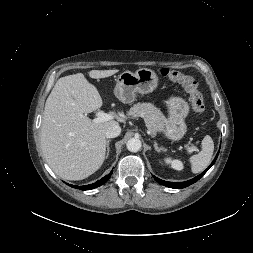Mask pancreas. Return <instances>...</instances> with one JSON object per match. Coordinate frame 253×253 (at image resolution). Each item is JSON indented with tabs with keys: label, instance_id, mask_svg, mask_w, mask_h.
<instances>
[{
	"label": "pancreas",
	"instance_id": "1",
	"mask_svg": "<svg viewBox=\"0 0 253 253\" xmlns=\"http://www.w3.org/2000/svg\"><path fill=\"white\" fill-rule=\"evenodd\" d=\"M128 114L132 117H143L148 130L152 133L163 131L167 123L162 112L151 103H137Z\"/></svg>",
	"mask_w": 253,
	"mask_h": 253
}]
</instances>
